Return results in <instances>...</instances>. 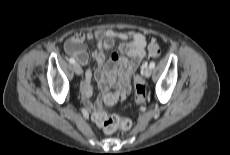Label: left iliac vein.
Masks as SVG:
<instances>
[{"label": "left iliac vein", "mask_w": 230, "mask_h": 155, "mask_svg": "<svg viewBox=\"0 0 230 155\" xmlns=\"http://www.w3.org/2000/svg\"><path fill=\"white\" fill-rule=\"evenodd\" d=\"M143 74L147 78L150 77L151 74H152V69L150 67L145 68L144 71H143Z\"/></svg>", "instance_id": "obj_1"}]
</instances>
